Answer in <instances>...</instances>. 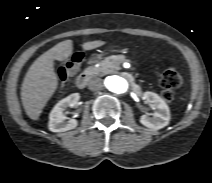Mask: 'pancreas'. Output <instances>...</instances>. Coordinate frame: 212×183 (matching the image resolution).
<instances>
[{
    "instance_id": "obj_1",
    "label": "pancreas",
    "mask_w": 212,
    "mask_h": 183,
    "mask_svg": "<svg viewBox=\"0 0 212 183\" xmlns=\"http://www.w3.org/2000/svg\"><path fill=\"white\" fill-rule=\"evenodd\" d=\"M124 61H129V59L123 55L109 56L101 61L98 66H93L89 70L95 75L115 73Z\"/></svg>"
}]
</instances>
